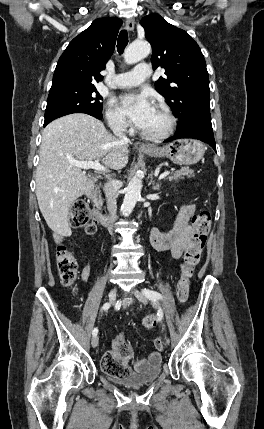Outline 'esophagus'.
Returning <instances> with one entry per match:
<instances>
[{"mask_svg":"<svg viewBox=\"0 0 264 429\" xmlns=\"http://www.w3.org/2000/svg\"><path fill=\"white\" fill-rule=\"evenodd\" d=\"M125 25L129 32H132L134 30L135 24L132 18L127 19ZM137 147L140 149H151L150 145L142 144V143H138Z\"/></svg>","mask_w":264,"mask_h":429,"instance_id":"34e87169","label":"esophagus"}]
</instances>
